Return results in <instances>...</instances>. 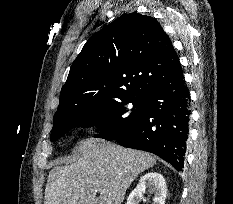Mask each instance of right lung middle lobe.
<instances>
[{
	"label": "right lung middle lobe",
	"mask_w": 233,
	"mask_h": 204,
	"mask_svg": "<svg viewBox=\"0 0 233 204\" xmlns=\"http://www.w3.org/2000/svg\"><path fill=\"white\" fill-rule=\"evenodd\" d=\"M146 96H136L108 101L91 110L79 111L67 119L54 124L51 141L62 137L74 127L98 125L100 134L95 137L110 139L130 128L144 112ZM132 103L133 108L125 105Z\"/></svg>",
	"instance_id": "dd1d6c3e"
}]
</instances>
